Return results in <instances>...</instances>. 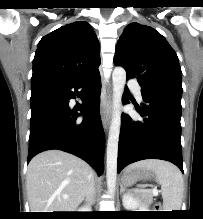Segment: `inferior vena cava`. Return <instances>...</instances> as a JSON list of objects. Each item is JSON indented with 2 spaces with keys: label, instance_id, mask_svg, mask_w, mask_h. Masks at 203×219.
Returning <instances> with one entry per match:
<instances>
[{
  "label": "inferior vena cava",
  "instance_id": "602c4592",
  "mask_svg": "<svg viewBox=\"0 0 203 219\" xmlns=\"http://www.w3.org/2000/svg\"><path fill=\"white\" fill-rule=\"evenodd\" d=\"M94 194H95V187H94V182H93V179L89 185V188H88V191H87V194H86V200L87 202H91L94 200Z\"/></svg>",
  "mask_w": 203,
  "mask_h": 219
}]
</instances>
